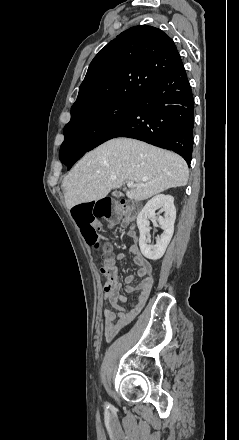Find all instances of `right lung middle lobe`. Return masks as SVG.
<instances>
[{
    "mask_svg": "<svg viewBox=\"0 0 239 440\" xmlns=\"http://www.w3.org/2000/svg\"><path fill=\"white\" fill-rule=\"evenodd\" d=\"M137 98L119 96L103 101L97 106L71 116L64 127V142L60 152L66 148L87 149L106 129L128 112Z\"/></svg>",
    "mask_w": 239,
    "mask_h": 440,
    "instance_id": "right-lung-middle-lobe-1",
    "label": "right lung middle lobe"
}]
</instances>
